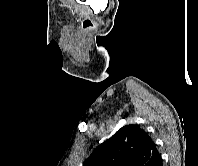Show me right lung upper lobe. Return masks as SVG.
I'll return each mask as SVG.
<instances>
[{"label": "right lung upper lobe", "instance_id": "cb5924a9", "mask_svg": "<svg viewBox=\"0 0 198 166\" xmlns=\"http://www.w3.org/2000/svg\"><path fill=\"white\" fill-rule=\"evenodd\" d=\"M159 155L143 129L127 125L96 147L83 166H149Z\"/></svg>", "mask_w": 198, "mask_h": 166}]
</instances>
